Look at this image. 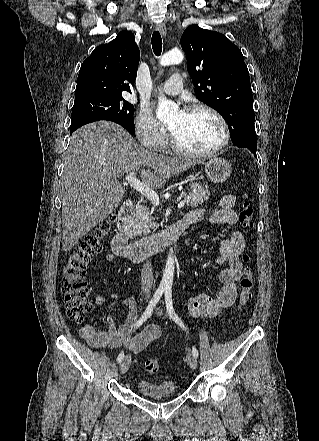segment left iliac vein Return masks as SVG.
I'll return each instance as SVG.
<instances>
[{
	"mask_svg": "<svg viewBox=\"0 0 319 441\" xmlns=\"http://www.w3.org/2000/svg\"><path fill=\"white\" fill-rule=\"evenodd\" d=\"M159 314H161L160 311ZM186 358H187V364L190 366V368L196 369L198 365L196 357L193 354L188 353Z\"/></svg>",
	"mask_w": 319,
	"mask_h": 441,
	"instance_id": "4c4485c4",
	"label": "left iliac vein"
}]
</instances>
